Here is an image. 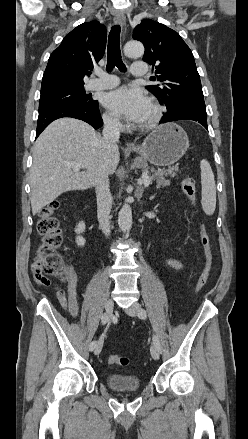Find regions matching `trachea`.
<instances>
[{"instance_id":"3493384b","label":"trachea","mask_w":248,"mask_h":439,"mask_svg":"<svg viewBox=\"0 0 248 439\" xmlns=\"http://www.w3.org/2000/svg\"><path fill=\"white\" fill-rule=\"evenodd\" d=\"M117 67L120 71L125 72L126 66L122 62L121 59V50H120V26L115 25L112 27L109 38H108V46H107V67L108 71L112 70L114 67Z\"/></svg>"}]
</instances>
